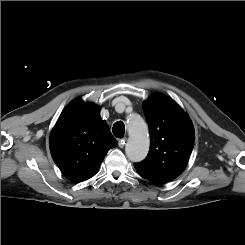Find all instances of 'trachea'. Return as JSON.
<instances>
[{"label":"trachea","mask_w":245,"mask_h":245,"mask_svg":"<svg viewBox=\"0 0 245 245\" xmlns=\"http://www.w3.org/2000/svg\"><path fill=\"white\" fill-rule=\"evenodd\" d=\"M125 132V125L122 121L116 122L113 125V134L117 138H122Z\"/></svg>","instance_id":"obj_1"}]
</instances>
